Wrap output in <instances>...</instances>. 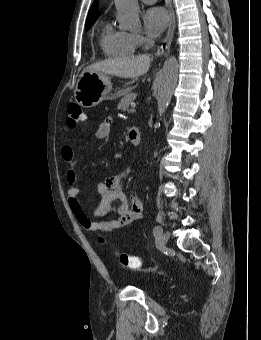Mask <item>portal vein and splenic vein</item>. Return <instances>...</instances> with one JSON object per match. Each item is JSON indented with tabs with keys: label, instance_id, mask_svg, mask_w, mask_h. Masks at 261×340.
Returning a JSON list of instances; mask_svg holds the SVG:
<instances>
[{
	"label": "portal vein and splenic vein",
	"instance_id": "18ae733b",
	"mask_svg": "<svg viewBox=\"0 0 261 340\" xmlns=\"http://www.w3.org/2000/svg\"><path fill=\"white\" fill-rule=\"evenodd\" d=\"M130 111H131V112H135V111H136V110H135V105H133V106L131 107Z\"/></svg>",
	"mask_w": 261,
	"mask_h": 340
}]
</instances>
